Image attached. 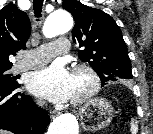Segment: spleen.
Instances as JSON below:
<instances>
[{"instance_id": "obj_1", "label": "spleen", "mask_w": 153, "mask_h": 134, "mask_svg": "<svg viewBox=\"0 0 153 134\" xmlns=\"http://www.w3.org/2000/svg\"><path fill=\"white\" fill-rule=\"evenodd\" d=\"M130 131H131L132 134H137V132H138V124L135 120L131 121Z\"/></svg>"}]
</instances>
